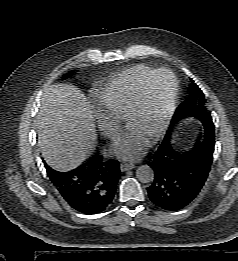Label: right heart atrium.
Wrapping results in <instances>:
<instances>
[{"mask_svg": "<svg viewBox=\"0 0 238 261\" xmlns=\"http://www.w3.org/2000/svg\"><path fill=\"white\" fill-rule=\"evenodd\" d=\"M94 118L98 130L107 137L114 135L124 120V117L112 114L102 107L94 110Z\"/></svg>", "mask_w": 238, "mask_h": 261, "instance_id": "right-heart-atrium-1", "label": "right heart atrium"}]
</instances>
